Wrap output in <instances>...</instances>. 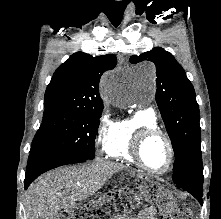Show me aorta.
<instances>
[{
    "label": "aorta",
    "instance_id": "obj_1",
    "mask_svg": "<svg viewBox=\"0 0 221 219\" xmlns=\"http://www.w3.org/2000/svg\"><path fill=\"white\" fill-rule=\"evenodd\" d=\"M139 75L145 79L150 85L154 83L155 72L153 68H141ZM102 93L108 99H113L119 95V91L116 88V84L113 79L105 78L102 85Z\"/></svg>",
    "mask_w": 221,
    "mask_h": 219
}]
</instances>
